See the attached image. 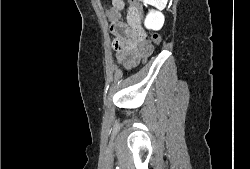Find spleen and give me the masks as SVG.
<instances>
[{
    "instance_id": "3e777b00",
    "label": "spleen",
    "mask_w": 250,
    "mask_h": 169,
    "mask_svg": "<svg viewBox=\"0 0 250 169\" xmlns=\"http://www.w3.org/2000/svg\"><path fill=\"white\" fill-rule=\"evenodd\" d=\"M167 0H163V4H166Z\"/></svg>"
}]
</instances>
